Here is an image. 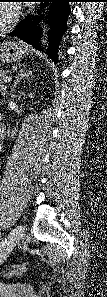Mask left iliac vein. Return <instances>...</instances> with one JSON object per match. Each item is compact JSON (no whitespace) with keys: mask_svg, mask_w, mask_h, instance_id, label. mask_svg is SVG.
Segmentation results:
<instances>
[{"mask_svg":"<svg viewBox=\"0 0 107 297\" xmlns=\"http://www.w3.org/2000/svg\"><path fill=\"white\" fill-rule=\"evenodd\" d=\"M24 235V227L22 225H17L10 233L9 241L7 247L2 251L1 260L18 244L20 239Z\"/></svg>","mask_w":107,"mask_h":297,"instance_id":"left-iliac-vein-1","label":"left iliac vein"}]
</instances>
